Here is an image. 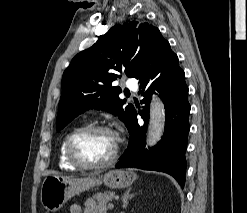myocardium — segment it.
Segmentation results:
<instances>
[{
    "instance_id": "f54148a6",
    "label": "myocardium",
    "mask_w": 247,
    "mask_h": 213,
    "mask_svg": "<svg viewBox=\"0 0 247 213\" xmlns=\"http://www.w3.org/2000/svg\"><path fill=\"white\" fill-rule=\"evenodd\" d=\"M101 131L113 133V131L108 126L97 124V125H88V126L78 128L70 134L66 142V155H67L69 162L72 165L80 169H87V170L88 169H100V168L111 166L117 161L119 157V151H120L118 140L116 142L115 150L112 156L104 162H97V163L87 162L78 154L77 152L78 140L87 134L94 133V132H101Z\"/></svg>"
}]
</instances>
